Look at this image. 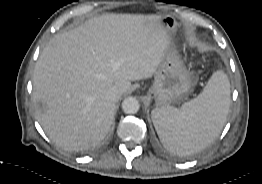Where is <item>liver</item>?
<instances>
[{
  "mask_svg": "<svg viewBox=\"0 0 262 184\" xmlns=\"http://www.w3.org/2000/svg\"><path fill=\"white\" fill-rule=\"evenodd\" d=\"M159 15L105 14L55 35L33 76L36 118L58 146L80 151L101 142L114 121L116 101L131 82L148 79L171 46Z\"/></svg>",
  "mask_w": 262,
  "mask_h": 184,
  "instance_id": "6515ba94",
  "label": "liver"
}]
</instances>
